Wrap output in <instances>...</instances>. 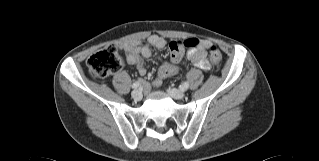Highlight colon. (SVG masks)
Returning a JSON list of instances; mask_svg holds the SVG:
<instances>
[{
    "label": "colon",
    "instance_id": "colon-1",
    "mask_svg": "<svg viewBox=\"0 0 319 161\" xmlns=\"http://www.w3.org/2000/svg\"><path fill=\"white\" fill-rule=\"evenodd\" d=\"M199 46L196 39H188L185 41H171L169 49L171 53V60L177 63L184 49H195ZM210 57L214 63H219L221 54L218 47L212 44L209 47ZM123 66V59L118 52L108 47L98 53L93 54L87 60V70L92 77L103 78L110 76L119 71Z\"/></svg>",
    "mask_w": 319,
    "mask_h": 161
}]
</instances>
